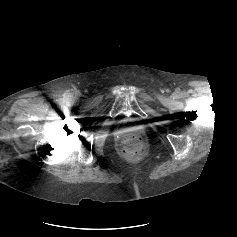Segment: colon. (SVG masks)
I'll use <instances>...</instances> for the list:
<instances>
[{"label":"colon","instance_id":"colon-1","mask_svg":"<svg viewBox=\"0 0 237 237\" xmlns=\"http://www.w3.org/2000/svg\"><path fill=\"white\" fill-rule=\"evenodd\" d=\"M121 149L127 155L138 156L145 152L146 145L139 134L130 133L123 138Z\"/></svg>","mask_w":237,"mask_h":237}]
</instances>
